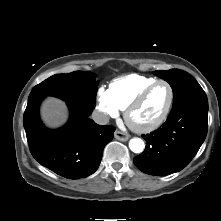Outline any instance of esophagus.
<instances>
[{"label": "esophagus", "instance_id": "esophagus-1", "mask_svg": "<svg viewBox=\"0 0 221 221\" xmlns=\"http://www.w3.org/2000/svg\"><path fill=\"white\" fill-rule=\"evenodd\" d=\"M114 136L117 140L125 142L129 139V135H127L126 133L120 131V130H116L114 133Z\"/></svg>", "mask_w": 221, "mask_h": 221}]
</instances>
